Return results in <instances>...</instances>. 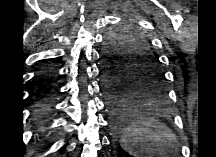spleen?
<instances>
[{"instance_id": "spleen-1", "label": "spleen", "mask_w": 216, "mask_h": 157, "mask_svg": "<svg viewBox=\"0 0 216 157\" xmlns=\"http://www.w3.org/2000/svg\"><path fill=\"white\" fill-rule=\"evenodd\" d=\"M122 148L133 157L156 154L165 148H176V136L163 123L152 119L132 121L121 135Z\"/></svg>"}]
</instances>
